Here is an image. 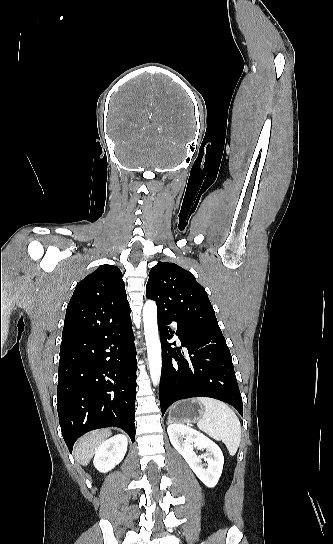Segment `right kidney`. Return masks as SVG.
<instances>
[{"instance_id": "obj_1", "label": "right kidney", "mask_w": 333, "mask_h": 544, "mask_svg": "<svg viewBox=\"0 0 333 544\" xmlns=\"http://www.w3.org/2000/svg\"><path fill=\"white\" fill-rule=\"evenodd\" d=\"M128 441L125 435H116L102 443L95 453V468L106 473L118 465L125 456Z\"/></svg>"}]
</instances>
